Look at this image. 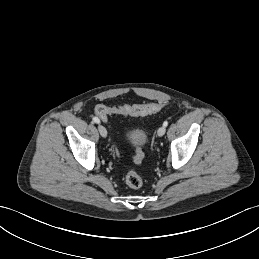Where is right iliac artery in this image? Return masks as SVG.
I'll use <instances>...</instances> for the list:
<instances>
[{"mask_svg": "<svg viewBox=\"0 0 259 259\" xmlns=\"http://www.w3.org/2000/svg\"><path fill=\"white\" fill-rule=\"evenodd\" d=\"M92 120H93V122H95V123H97V124L100 123V120H99L97 117H93Z\"/></svg>", "mask_w": 259, "mask_h": 259, "instance_id": "82829eb1", "label": "right iliac artery"}]
</instances>
